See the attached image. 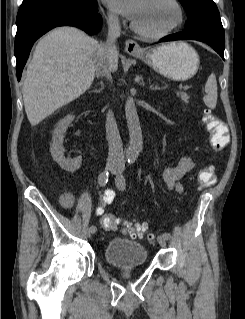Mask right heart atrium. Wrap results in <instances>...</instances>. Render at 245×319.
I'll list each match as a JSON object with an SVG mask.
<instances>
[{
	"instance_id": "d8ad5b80",
	"label": "right heart atrium",
	"mask_w": 245,
	"mask_h": 319,
	"mask_svg": "<svg viewBox=\"0 0 245 319\" xmlns=\"http://www.w3.org/2000/svg\"><path fill=\"white\" fill-rule=\"evenodd\" d=\"M108 19L112 25L117 24L118 18H117V15L113 11L108 12Z\"/></svg>"
}]
</instances>
